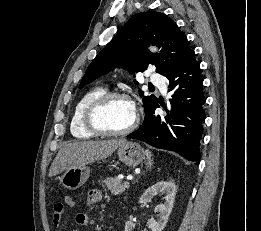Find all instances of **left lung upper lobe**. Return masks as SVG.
<instances>
[{
  "label": "left lung upper lobe",
  "instance_id": "obj_1",
  "mask_svg": "<svg viewBox=\"0 0 261 231\" xmlns=\"http://www.w3.org/2000/svg\"><path fill=\"white\" fill-rule=\"evenodd\" d=\"M162 47L161 53L153 54L146 45ZM186 36L177 24L165 14L142 12L134 15L109 44L88 66L80 83V88L116 67L132 71L147 69L149 64L156 66V72L167 76L183 66L193 55ZM138 84L137 82H135ZM142 97L145 111L157 102L154 95Z\"/></svg>",
  "mask_w": 261,
  "mask_h": 231
}]
</instances>
